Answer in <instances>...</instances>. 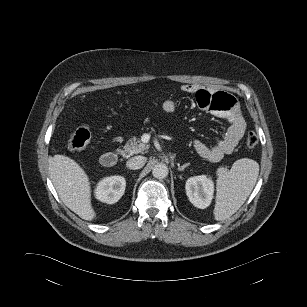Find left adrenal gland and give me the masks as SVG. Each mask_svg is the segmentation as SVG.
I'll return each instance as SVG.
<instances>
[{
    "label": "left adrenal gland",
    "instance_id": "1",
    "mask_svg": "<svg viewBox=\"0 0 307 307\" xmlns=\"http://www.w3.org/2000/svg\"><path fill=\"white\" fill-rule=\"evenodd\" d=\"M190 165V163H186V164H184L183 166H179L178 167V171H183L186 167H188Z\"/></svg>",
    "mask_w": 307,
    "mask_h": 307
}]
</instances>
